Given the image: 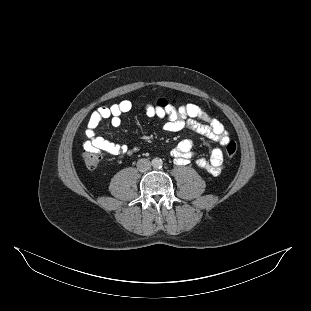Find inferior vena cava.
I'll return each instance as SVG.
<instances>
[{
	"label": "inferior vena cava",
	"mask_w": 311,
	"mask_h": 311,
	"mask_svg": "<svg viewBox=\"0 0 311 311\" xmlns=\"http://www.w3.org/2000/svg\"><path fill=\"white\" fill-rule=\"evenodd\" d=\"M151 168V162L147 159H140L137 162V169L141 172L148 171Z\"/></svg>",
	"instance_id": "1"
}]
</instances>
